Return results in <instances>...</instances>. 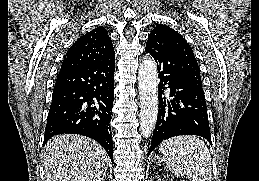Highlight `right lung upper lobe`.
<instances>
[{
  "label": "right lung upper lobe",
  "mask_w": 259,
  "mask_h": 181,
  "mask_svg": "<svg viewBox=\"0 0 259 181\" xmlns=\"http://www.w3.org/2000/svg\"><path fill=\"white\" fill-rule=\"evenodd\" d=\"M114 55V47L107 30L104 27H97L81 36L70 47L60 72L92 65Z\"/></svg>",
  "instance_id": "cb5924a9"
}]
</instances>
